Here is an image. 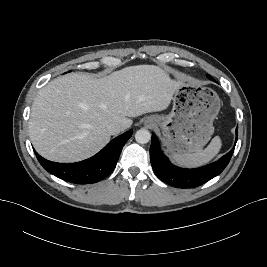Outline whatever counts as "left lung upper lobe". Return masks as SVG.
<instances>
[{"label":"left lung upper lobe","mask_w":267,"mask_h":267,"mask_svg":"<svg viewBox=\"0 0 267 267\" xmlns=\"http://www.w3.org/2000/svg\"><path fill=\"white\" fill-rule=\"evenodd\" d=\"M207 76H208V78H210V79L212 78L210 75H207ZM211 80H212V79H211ZM213 80H214V79H213Z\"/></svg>","instance_id":"obj_1"}]
</instances>
